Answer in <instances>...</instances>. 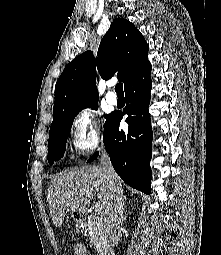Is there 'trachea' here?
Listing matches in <instances>:
<instances>
[{"label": "trachea", "instance_id": "trachea-1", "mask_svg": "<svg viewBox=\"0 0 221 255\" xmlns=\"http://www.w3.org/2000/svg\"><path fill=\"white\" fill-rule=\"evenodd\" d=\"M115 91L117 94H123L124 91H123V84L122 83H118L116 86H115Z\"/></svg>", "mask_w": 221, "mask_h": 255}]
</instances>
